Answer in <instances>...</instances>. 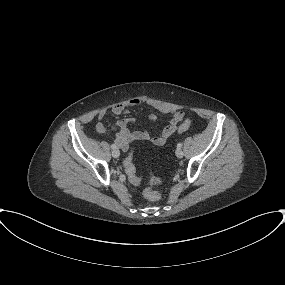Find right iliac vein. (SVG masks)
Returning <instances> with one entry per match:
<instances>
[{"label":"right iliac vein","instance_id":"obj_1","mask_svg":"<svg viewBox=\"0 0 285 285\" xmlns=\"http://www.w3.org/2000/svg\"><path fill=\"white\" fill-rule=\"evenodd\" d=\"M119 155H120V151H119L118 149H114V150L112 151V156H113L114 158H118Z\"/></svg>","mask_w":285,"mask_h":285}]
</instances>
